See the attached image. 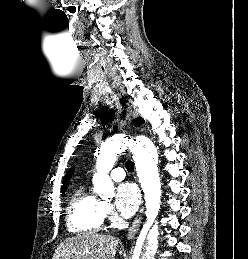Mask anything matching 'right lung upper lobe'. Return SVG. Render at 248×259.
Listing matches in <instances>:
<instances>
[{"label": "right lung upper lobe", "instance_id": "right-lung-upper-lobe-1", "mask_svg": "<svg viewBox=\"0 0 248 259\" xmlns=\"http://www.w3.org/2000/svg\"><path fill=\"white\" fill-rule=\"evenodd\" d=\"M72 173H73V169H71V170L67 173V175L65 176V178H64V180H63L62 190H66V189H67L68 182H69V179H70Z\"/></svg>", "mask_w": 248, "mask_h": 259}]
</instances>
